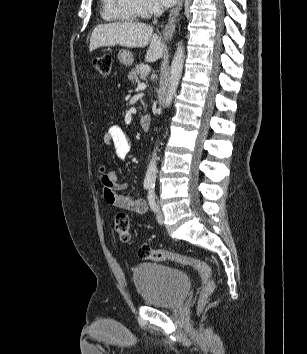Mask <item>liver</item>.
<instances>
[{"label":"liver","instance_id":"6515ba94","mask_svg":"<svg viewBox=\"0 0 307 354\" xmlns=\"http://www.w3.org/2000/svg\"><path fill=\"white\" fill-rule=\"evenodd\" d=\"M148 44L145 60L155 62L163 56L165 46L161 38L153 33V28L139 22H116L95 27L90 38L89 51L116 45L143 48Z\"/></svg>","mask_w":307,"mask_h":354}]
</instances>
